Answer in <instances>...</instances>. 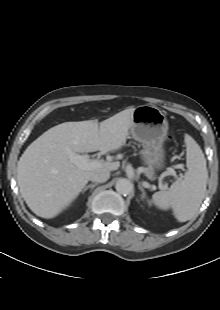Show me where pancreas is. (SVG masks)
Wrapping results in <instances>:
<instances>
[{
	"label": "pancreas",
	"instance_id": "pancreas-1",
	"mask_svg": "<svg viewBox=\"0 0 220 310\" xmlns=\"http://www.w3.org/2000/svg\"><path fill=\"white\" fill-rule=\"evenodd\" d=\"M145 174H146V176H148L149 178H152V177H153V173H152V171H150L149 169H145Z\"/></svg>",
	"mask_w": 220,
	"mask_h": 310
}]
</instances>
